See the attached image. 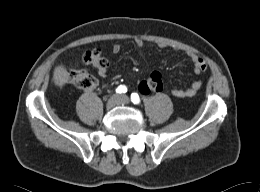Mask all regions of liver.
Listing matches in <instances>:
<instances>
[{
  "label": "liver",
  "instance_id": "1",
  "mask_svg": "<svg viewBox=\"0 0 260 192\" xmlns=\"http://www.w3.org/2000/svg\"><path fill=\"white\" fill-rule=\"evenodd\" d=\"M69 80V73L63 65L56 66L53 74V82L56 86L63 87Z\"/></svg>",
  "mask_w": 260,
  "mask_h": 192
}]
</instances>
